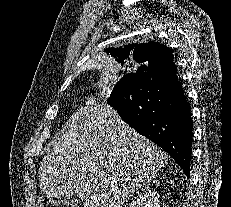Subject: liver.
<instances>
[{
    "label": "liver",
    "mask_w": 231,
    "mask_h": 207,
    "mask_svg": "<svg viewBox=\"0 0 231 207\" xmlns=\"http://www.w3.org/2000/svg\"><path fill=\"white\" fill-rule=\"evenodd\" d=\"M167 161L164 151L112 107L85 106L49 143L40 163L39 186L48 198L73 194L84 207H122Z\"/></svg>",
    "instance_id": "6515ba94"
}]
</instances>
